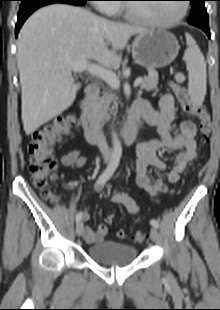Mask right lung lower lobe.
I'll use <instances>...</instances> for the list:
<instances>
[{
	"instance_id": "obj_1",
	"label": "right lung lower lobe",
	"mask_w": 220,
	"mask_h": 310,
	"mask_svg": "<svg viewBox=\"0 0 220 310\" xmlns=\"http://www.w3.org/2000/svg\"><path fill=\"white\" fill-rule=\"evenodd\" d=\"M87 0H22L18 13V21L16 24V36L23 25L24 21L30 16L36 9L52 4V3H66L71 5L80 6L83 5Z\"/></svg>"
}]
</instances>
